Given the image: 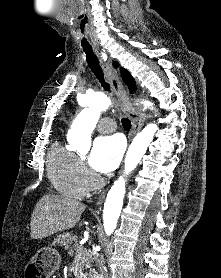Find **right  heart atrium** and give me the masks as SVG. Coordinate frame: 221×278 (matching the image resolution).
Segmentation results:
<instances>
[{"mask_svg":"<svg viewBox=\"0 0 221 278\" xmlns=\"http://www.w3.org/2000/svg\"><path fill=\"white\" fill-rule=\"evenodd\" d=\"M81 166H82V169H83V171H84V165L81 163Z\"/></svg>","mask_w":221,"mask_h":278,"instance_id":"obj_1","label":"right heart atrium"}]
</instances>
